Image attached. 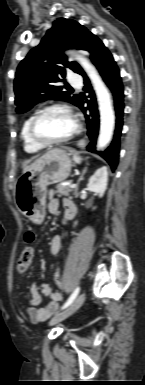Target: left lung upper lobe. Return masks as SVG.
Masks as SVG:
<instances>
[{
	"label": "left lung upper lobe",
	"mask_w": 145,
	"mask_h": 385,
	"mask_svg": "<svg viewBox=\"0 0 145 385\" xmlns=\"http://www.w3.org/2000/svg\"><path fill=\"white\" fill-rule=\"evenodd\" d=\"M94 35L79 23L59 18L53 22L40 42L33 48L17 68L14 91L16 111L24 113L38 102L45 100H61L79 106L81 97L63 91L66 86L59 82L66 75V69L76 73L81 67L76 62H68L63 51L76 48L88 51Z\"/></svg>",
	"instance_id": "1"
}]
</instances>
